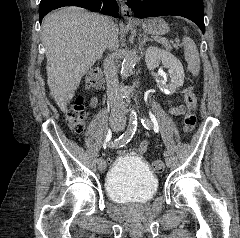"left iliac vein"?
I'll list each match as a JSON object with an SVG mask.
<instances>
[{"label":"left iliac vein","mask_w":240,"mask_h":238,"mask_svg":"<svg viewBox=\"0 0 240 238\" xmlns=\"http://www.w3.org/2000/svg\"><path fill=\"white\" fill-rule=\"evenodd\" d=\"M165 163L167 167L171 166V159L170 158H165Z\"/></svg>","instance_id":"1"}]
</instances>
